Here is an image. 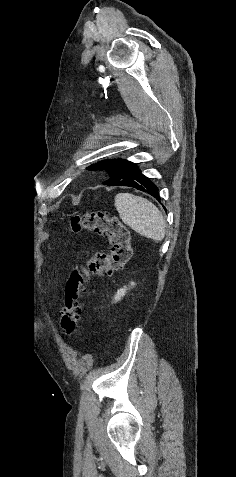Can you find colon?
<instances>
[{
	"label": "colon",
	"instance_id": "5ec220e1",
	"mask_svg": "<svg viewBox=\"0 0 236 477\" xmlns=\"http://www.w3.org/2000/svg\"><path fill=\"white\" fill-rule=\"evenodd\" d=\"M75 233L94 232L104 236L110 252L90 255L84 265L75 268L65 286V304L60 326L65 335L75 333L81 312L84 286L91 275L99 276L122 269L133 256L131 232L107 212L97 211L78 214L71 220Z\"/></svg>",
	"mask_w": 236,
	"mask_h": 477
}]
</instances>
